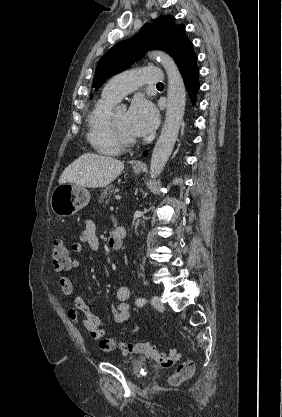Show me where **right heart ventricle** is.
Instances as JSON below:
<instances>
[{
    "label": "right heart ventricle",
    "instance_id": "e07e8e85",
    "mask_svg": "<svg viewBox=\"0 0 282 417\" xmlns=\"http://www.w3.org/2000/svg\"><path fill=\"white\" fill-rule=\"evenodd\" d=\"M115 102L102 95L88 118V140L94 148L104 154H113L120 148L109 125V116Z\"/></svg>",
    "mask_w": 282,
    "mask_h": 417
}]
</instances>
